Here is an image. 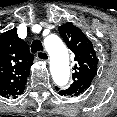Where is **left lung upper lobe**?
Instances as JSON below:
<instances>
[{
	"label": "left lung upper lobe",
	"mask_w": 117,
	"mask_h": 117,
	"mask_svg": "<svg viewBox=\"0 0 117 117\" xmlns=\"http://www.w3.org/2000/svg\"><path fill=\"white\" fill-rule=\"evenodd\" d=\"M59 33L74 53L76 62L73 68V83L68 89L61 91L64 96L76 97L84 93L91 85L97 73L98 59L92 43L78 27L67 23L59 27Z\"/></svg>",
	"instance_id": "5c2ea615"
}]
</instances>
